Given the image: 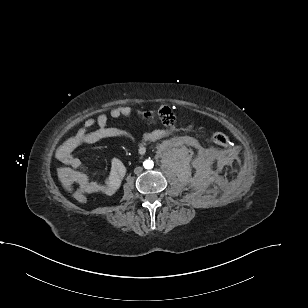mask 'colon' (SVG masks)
Returning <instances> with one entry per match:
<instances>
[{
	"instance_id": "1",
	"label": "colon",
	"mask_w": 308,
	"mask_h": 308,
	"mask_svg": "<svg viewBox=\"0 0 308 308\" xmlns=\"http://www.w3.org/2000/svg\"><path fill=\"white\" fill-rule=\"evenodd\" d=\"M148 119H154L155 116L153 115H148L147 116ZM156 118L162 122V124L166 125V126H171L174 123V115L172 113V111L167 108V107H163L161 108L157 115ZM212 140L214 141V143H216L219 146H223L226 147L229 145L230 141L229 138L221 132H215L212 135ZM74 198L77 202L79 203H86L87 202V193H85L83 190L77 189L74 192Z\"/></svg>"
}]
</instances>
